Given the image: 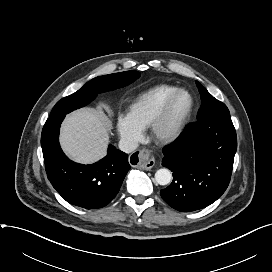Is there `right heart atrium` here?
Returning <instances> with one entry per match:
<instances>
[{"label": "right heart atrium", "mask_w": 272, "mask_h": 272, "mask_svg": "<svg viewBox=\"0 0 272 272\" xmlns=\"http://www.w3.org/2000/svg\"><path fill=\"white\" fill-rule=\"evenodd\" d=\"M117 131L122 141L128 146H135L142 137V130L139 129L127 115H119L117 118Z\"/></svg>", "instance_id": "1"}]
</instances>
